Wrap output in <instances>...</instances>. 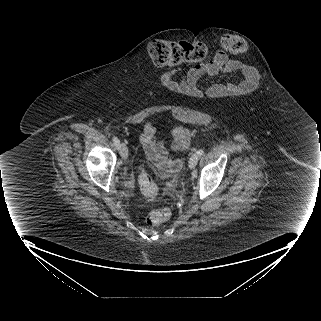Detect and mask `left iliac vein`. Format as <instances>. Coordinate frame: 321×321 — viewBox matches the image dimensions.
<instances>
[{"label": "left iliac vein", "mask_w": 321, "mask_h": 321, "mask_svg": "<svg viewBox=\"0 0 321 321\" xmlns=\"http://www.w3.org/2000/svg\"><path fill=\"white\" fill-rule=\"evenodd\" d=\"M198 162V155L196 153L192 154L189 159V168L194 169Z\"/></svg>", "instance_id": "obj_1"}]
</instances>
